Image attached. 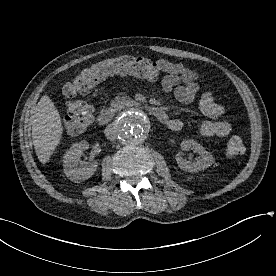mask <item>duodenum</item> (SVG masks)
Instances as JSON below:
<instances>
[{"instance_id":"410a0bca","label":"duodenum","mask_w":276,"mask_h":276,"mask_svg":"<svg viewBox=\"0 0 276 276\" xmlns=\"http://www.w3.org/2000/svg\"><path fill=\"white\" fill-rule=\"evenodd\" d=\"M146 111L155 117L159 122L166 124L168 116L166 112L157 106H146ZM115 117V111L112 108H106L102 110L97 117V120L102 125L109 124Z\"/></svg>"}]
</instances>
